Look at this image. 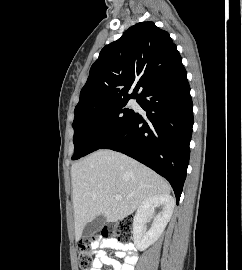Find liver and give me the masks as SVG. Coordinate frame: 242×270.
Segmentation results:
<instances>
[{
  "instance_id": "1",
  "label": "liver",
  "mask_w": 242,
  "mask_h": 270,
  "mask_svg": "<svg viewBox=\"0 0 242 270\" xmlns=\"http://www.w3.org/2000/svg\"><path fill=\"white\" fill-rule=\"evenodd\" d=\"M75 239L99 215L115 222L132 214L146 199L169 195L166 180L136 160L113 150H98L71 167ZM121 195L122 200H116Z\"/></svg>"
}]
</instances>
